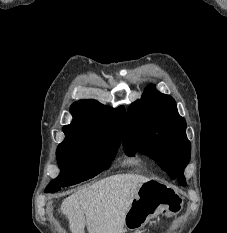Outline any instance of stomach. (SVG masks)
<instances>
[{"mask_svg":"<svg viewBox=\"0 0 227 233\" xmlns=\"http://www.w3.org/2000/svg\"><path fill=\"white\" fill-rule=\"evenodd\" d=\"M182 202L179 193L167 183L155 180L145 182L128 209L125 226L129 230H138L159 214H177L182 208Z\"/></svg>","mask_w":227,"mask_h":233,"instance_id":"stomach-1","label":"stomach"}]
</instances>
